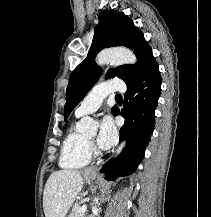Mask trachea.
Wrapping results in <instances>:
<instances>
[{"mask_svg": "<svg viewBox=\"0 0 211 217\" xmlns=\"http://www.w3.org/2000/svg\"><path fill=\"white\" fill-rule=\"evenodd\" d=\"M122 96L121 95H116V98H121Z\"/></svg>", "mask_w": 211, "mask_h": 217, "instance_id": "1", "label": "trachea"}]
</instances>
